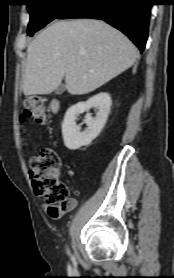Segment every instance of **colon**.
Listing matches in <instances>:
<instances>
[{
	"mask_svg": "<svg viewBox=\"0 0 174 278\" xmlns=\"http://www.w3.org/2000/svg\"><path fill=\"white\" fill-rule=\"evenodd\" d=\"M28 120L38 124H46L49 121L45 99L30 96L24 100L20 122L24 123ZM58 165V155L52 148L40 150L30 160L33 188L50 205H62L69 199L70 190L59 179Z\"/></svg>",
	"mask_w": 174,
	"mask_h": 278,
	"instance_id": "1",
	"label": "colon"
}]
</instances>
